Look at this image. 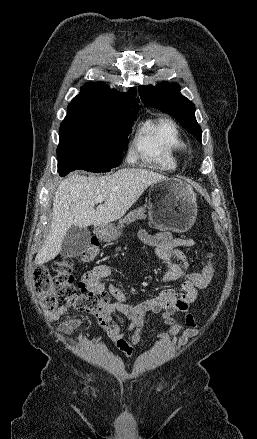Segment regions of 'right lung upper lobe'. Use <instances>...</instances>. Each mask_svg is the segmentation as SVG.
Wrapping results in <instances>:
<instances>
[{
  "instance_id": "cb5924a9",
  "label": "right lung upper lobe",
  "mask_w": 257,
  "mask_h": 439,
  "mask_svg": "<svg viewBox=\"0 0 257 439\" xmlns=\"http://www.w3.org/2000/svg\"><path fill=\"white\" fill-rule=\"evenodd\" d=\"M136 94L133 87L127 93H119L104 83H89L81 88L80 94L68 105L67 116L121 118L138 111L139 100L135 98Z\"/></svg>"
}]
</instances>
